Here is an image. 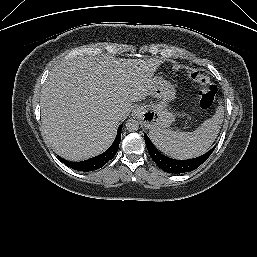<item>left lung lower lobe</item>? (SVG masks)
<instances>
[{
	"label": "left lung lower lobe",
	"mask_w": 257,
	"mask_h": 257,
	"mask_svg": "<svg viewBox=\"0 0 257 257\" xmlns=\"http://www.w3.org/2000/svg\"><path fill=\"white\" fill-rule=\"evenodd\" d=\"M144 139L146 142L147 150L153 161L158 165V167L167 173H184L193 171L208 159L216 147L214 146L205 154L193 159L176 160L169 158L157 151L146 135H144Z\"/></svg>",
	"instance_id": "left-lung-lower-lobe-1"
}]
</instances>
